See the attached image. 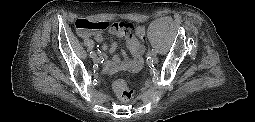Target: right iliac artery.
<instances>
[{"label":"right iliac artery","instance_id":"right-iliac-artery-1","mask_svg":"<svg viewBox=\"0 0 255 122\" xmlns=\"http://www.w3.org/2000/svg\"><path fill=\"white\" fill-rule=\"evenodd\" d=\"M96 53L94 52V51H91L90 52V56L92 57V56H94Z\"/></svg>","mask_w":255,"mask_h":122}]
</instances>
